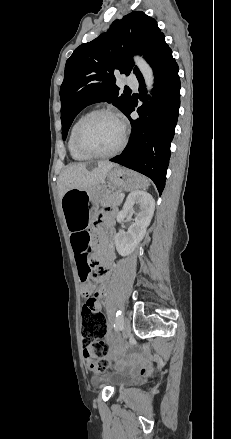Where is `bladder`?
<instances>
[{"instance_id": "obj_1", "label": "bladder", "mask_w": 231, "mask_h": 439, "mask_svg": "<svg viewBox=\"0 0 231 439\" xmlns=\"http://www.w3.org/2000/svg\"><path fill=\"white\" fill-rule=\"evenodd\" d=\"M96 383L106 382L118 388L121 386H126L132 383V377L127 374L114 373V374H102L95 379Z\"/></svg>"}]
</instances>
